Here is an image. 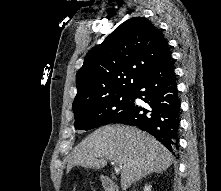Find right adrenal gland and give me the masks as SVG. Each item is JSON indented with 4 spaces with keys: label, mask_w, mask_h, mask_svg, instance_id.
Wrapping results in <instances>:
<instances>
[{
    "label": "right adrenal gland",
    "mask_w": 221,
    "mask_h": 191,
    "mask_svg": "<svg viewBox=\"0 0 221 191\" xmlns=\"http://www.w3.org/2000/svg\"><path fill=\"white\" fill-rule=\"evenodd\" d=\"M145 177H146V176H143L142 178H145ZM142 178H141V179H142ZM141 179H139V180H141ZM139 180H138V181H139ZM135 185H136V183H135Z\"/></svg>",
    "instance_id": "2a0ac1e0"
}]
</instances>
